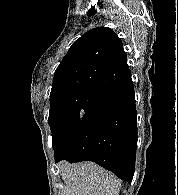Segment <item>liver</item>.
<instances>
[{
    "label": "liver",
    "instance_id": "obj_1",
    "mask_svg": "<svg viewBox=\"0 0 178 195\" xmlns=\"http://www.w3.org/2000/svg\"><path fill=\"white\" fill-rule=\"evenodd\" d=\"M64 195H119L121 181L92 162L61 165Z\"/></svg>",
    "mask_w": 178,
    "mask_h": 195
}]
</instances>
